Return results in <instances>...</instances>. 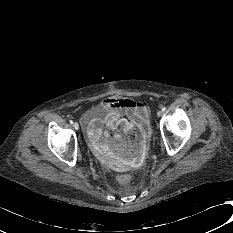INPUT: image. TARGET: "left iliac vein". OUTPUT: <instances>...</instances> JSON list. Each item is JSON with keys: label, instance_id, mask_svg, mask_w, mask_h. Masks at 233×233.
I'll use <instances>...</instances> for the list:
<instances>
[{"label": "left iliac vein", "instance_id": "obj_1", "mask_svg": "<svg viewBox=\"0 0 233 233\" xmlns=\"http://www.w3.org/2000/svg\"><path fill=\"white\" fill-rule=\"evenodd\" d=\"M163 115V112L161 111V110H159L158 112H157V116L158 117H161Z\"/></svg>", "mask_w": 233, "mask_h": 233}]
</instances>
